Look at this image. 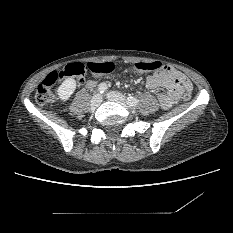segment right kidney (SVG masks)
Instances as JSON below:
<instances>
[{"instance_id": "ca27d5eb", "label": "right kidney", "mask_w": 233, "mask_h": 233, "mask_svg": "<svg viewBox=\"0 0 233 233\" xmlns=\"http://www.w3.org/2000/svg\"><path fill=\"white\" fill-rule=\"evenodd\" d=\"M76 89V81L73 78L65 79L57 89L58 98L65 102L74 93Z\"/></svg>"}]
</instances>
